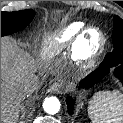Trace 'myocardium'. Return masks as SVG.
<instances>
[{
    "instance_id": "obj_1",
    "label": "myocardium",
    "mask_w": 123,
    "mask_h": 123,
    "mask_svg": "<svg viewBox=\"0 0 123 123\" xmlns=\"http://www.w3.org/2000/svg\"><path fill=\"white\" fill-rule=\"evenodd\" d=\"M92 31L96 32L98 35V42L94 49L91 51H87L85 47L81 48L82 42L86 39V36L90 34ZM106 36L103 33V31L97 27H88L85 29L82 34L78 37L77 44H78V61L79 65L82 69H86L93 65L98 58V56L103 51L105 45H106Z\"/></svg>"
}]
</instances>
